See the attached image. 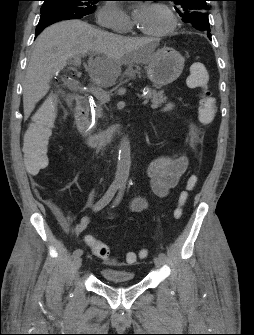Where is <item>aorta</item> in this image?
I'll return each instance as SVG.
<instances>
[{"label": "aorta", "mask_w": 254, "mask_h": 335, "mask_svg": "<svg viewBox=\"0 0 254 335\" xmlns=\"http://www.w3.org/2000/svg\"><path fill=\"white\" fill-rule=\"evenodd\" d=\"M131 166L130 141L123 137L119 145V157L115 173L114 183L119 187L126 186Z\"/></svg>", "instance_id": "1"}]
</instances>
